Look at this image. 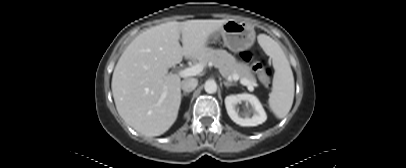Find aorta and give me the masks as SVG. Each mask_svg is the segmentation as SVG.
Here are the masks:
<instances>
[{"label":"aorta","mask_w":406,"mask_h":168,"mask_svg":"<svg viewBox=\"0 0 406 168\" xmlns=\"http://www.w3.org/2000/svg\"><path fill=\"white\" fill-rule=\"evenodd\" d=\"M204 89L207 93H215L217 91V84L214 80H207L204 84Z\"/></svg>","instance_id":"obj_1"}]
</instances>
